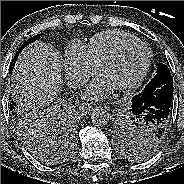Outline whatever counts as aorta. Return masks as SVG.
Instances as JSON below:
<instances>
[{"instance_id":"1","label":"aorta","mask_w":184,"mask_h":184,"mask_svg":"<svg viewBox=\"0 0 184 184\" xmlns=\"http://www.w3.org/2000/svg\"><path fill=\"white\" fill-rule=\"evenodd\" d=\"M109 113L103 108H96L91 113V121L95 126H104L109 122Z\"/></svg>"}]
</instances>
